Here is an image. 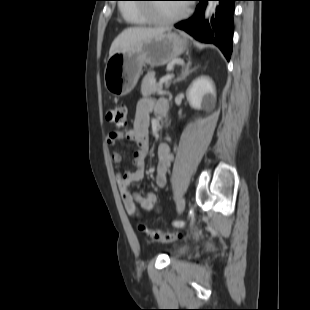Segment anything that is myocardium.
Segmentation results:
<instances>
[{"instance_id": "myocardium-1", "label": "myocardium", "mask_w": 310, "mask_h": 310, "mask_svg": "<svg viewBox=\"0 0 310 310\" xmlns=\"http://www.w3.org/2000/svg\"><path fill=\"white\" fill-rule=\"evenodd\" d=\"M149 19L155 24H171L175 23L184 17H186L190 12V7H184L180 12L172 16H156V12L153 8H144Z\"/></svg>"}]
</instances>
